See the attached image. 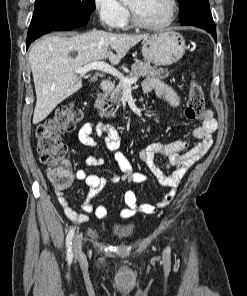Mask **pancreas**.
I'll use <instances>...</instances> for the list:
<instances>
[{
    "instance_id": "pancreas-1",
    "label": "pancreas",
    "mask_w": 247,
    "mask_h": 296,
    "mask_svg": "<svg viewBox=\"0 0 247 296\" xmlns=\"http://www.w3.org/2000/svg\"><path fill=\"white\" fill-rule=\"evenodd\" d=\"M155 77L158 79H165L169 76V72L167 69H163L156 66H151L149 63L142 62L140 60H135V63L131 66V71L127 75V78L133 77ZM123 94V86L121 83H118L114 86L113 90L110 93V98L107 100L108 95L102 96L96 102V107L100 110L101 117H115L114 109H111L107 112V109H104V105L106 104L105 100L108 102L118 104L121 100ZM111 106L108 105V108Z\"/></svg>"
}]
</instances>
